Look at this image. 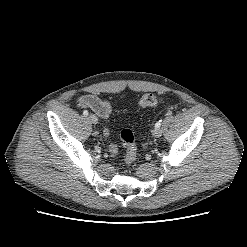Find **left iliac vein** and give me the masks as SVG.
<instances>
[{"label":"left iliac vein","mask_w":247,"mask_h":247,"mask_svg":"<svg viewBox=\"0 0 247 247\" xmlns=\"http://www.w3.org/2000/svg\"><path fill=\"white\" fill-rule=\"evenodd\" d=\"M153 135L155 136V137H157V138H159V137H161V135H162V129L159 127V128H155L154 130H153Z\"/></svg>","instance_id":"1"}]
</instances>
